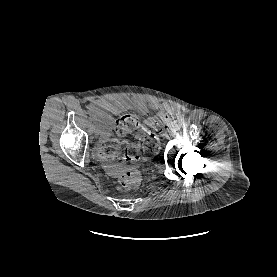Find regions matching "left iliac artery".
Listing matches in <instances>:
<instances>
[{
	"instance_id": "obj_1",
	"label": "left iliac artery",
	"mask_w": 277,
	"mask_h": 277,
	"mask_svg": "<svg viewBox=\"0 0 277 277\" xmlns=\"http://www.w3.org/2000/svg\"><path fill=\"white\" fill-rule=\"evenodd\" d=\"M181 123H177V124H175L173 127L176 129V130H180V128H181Z\"/></svg>"
}]
</instances>
